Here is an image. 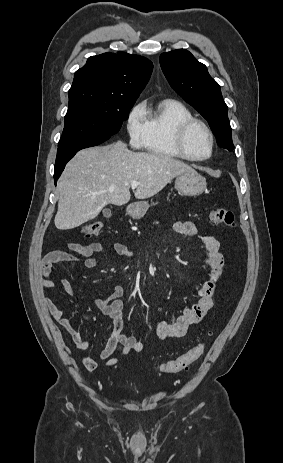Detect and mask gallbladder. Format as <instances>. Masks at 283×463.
<instances>
[{
  "instance_id": "obj_1",
  "label": "gallbladder",
  "mask_w": 283,
  "mask_h": 463,
  "mask_svg": "<svg viewBox=\"0 0 283 463\" xmlns=\"http://www.w3.org/2000/svg\"><path fill=\"white\" fill-rule=\"evenodd\" d=\"M103 215L106 216V217L110 216L111 215L110 209H104L103 210Z\"/></svg>"
}]
</instances>
